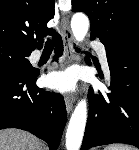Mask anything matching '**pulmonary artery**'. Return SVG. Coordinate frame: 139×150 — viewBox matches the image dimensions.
<instances>
[{
  "mask_svg": "<svg viewBox=\"0 0 139 150\" xmlns=\"http://www.w3.org/2000/svg\"><path fill=\"white\" fill-rule=\"evenodd\" d=\"M91 46L97 51L105 71L109 72L106 49L104 44H102L101 42H92ZM39 57H40V52L36 51L33 53V59H38Z\"/></svg>",
  "mask_w": 139,
  "mask_h": 150,
  "instance_id": "e3ab8cb5",
  "label": "pulmonary artery"
}]
</instances>
